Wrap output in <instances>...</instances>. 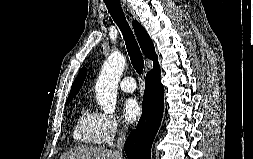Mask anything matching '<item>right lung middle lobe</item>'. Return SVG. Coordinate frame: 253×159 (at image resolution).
<instances>
[{"label": "right lung middle lobe", "instance_id": "dd1d6c3e", "mask_svg": "<svg viewBox=\"0 0 253 159\" xmlns=\"http://www.w3.org/2000/svg\"><path fill=\"white\" fill-rule=\"evenodd\" d=\"M71 102V100H66V104H69Z\"/></svg>", "mask_w": 253, "mask_h": 159}]
</instances>
